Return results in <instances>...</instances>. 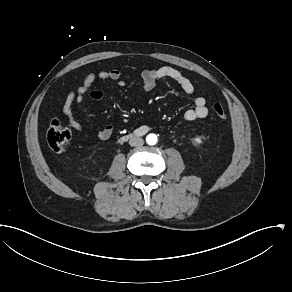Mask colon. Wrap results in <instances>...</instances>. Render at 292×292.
Wrapping results in <instances>:
<instances>
[{"mask_svg": "<svg viewBox=\"0 0 292 292\" xmlns=\"http://www.w3.org/2000/svg\"><path fill=\"white\" fill-rule=\"evenodd\" d=\"M212 110L219 119L227 120V113L222 104L214 103ZM46 139L52 152L62 154L70 142L71 130L60 120H53L47 131Z\"/></svg>", "mask_w": 292, "mask_h": 292, "instance_id": "5ec220e1", "label": "colon"}]
</instances>
